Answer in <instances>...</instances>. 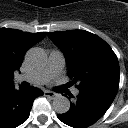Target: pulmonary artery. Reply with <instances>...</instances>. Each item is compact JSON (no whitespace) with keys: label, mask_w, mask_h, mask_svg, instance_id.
I'll use <instances>...</instances> for the list:
<instances>
[{"label":"pulmonary artery","mask_w":128,"mask_h":128,"mask_svg":"<svg viewBox=\"0 0 128 128\" xmlns=\"http://www.w3.org/2000/svg\"><path fill=\"white\" fill-rule=\"evenodd\" d=\"M64 65L65 59L63 53L58 50H51L47 66L44 69L20 75L17 77V80L27 81L33 85H43L58 75L64 68ZM78 93V89L73 90L74 95H78Z\"/></svg>","instance_id":"pulmonary-artery-1"}]
</instances>
